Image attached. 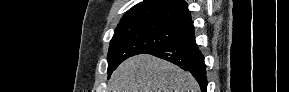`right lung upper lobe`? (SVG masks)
I'll return each mask as SVG.
<instances>
[{
	"mask_svg": "<svg viewBox=\"0 0 289 92\" xmlns=\"http://www.w3.org/2000/svg\"><path fill=\"white\" fill-rule=\"evenodd\" d=\"M153 19L193 26L188 5L184 0H144L128 10L122 21Z\"/></svg>",
	"mask_w": 289,
	"mask_h": 92,
	"instance_id": "right-lung-upper-lobe-1",
	"label": "right lung upper lobe"
}]
</instances>
